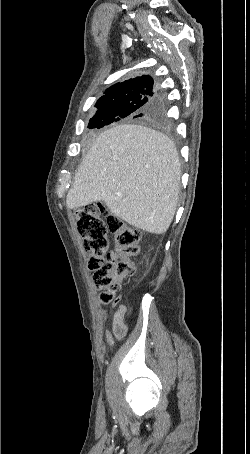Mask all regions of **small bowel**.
<instances>
[{
  "instance_id": "c3829d8e",
  "label": "small bowel",
  "mask_w": 250,
  "mask_h": 454,
  "mask_svg": "<svg viewBox=\"0 0 250 454\" xmlns=\"http://www.w3.org/2000/svg\"><path fill=\"white\" fill-rule=\"evenodd\" d=\"M127 308L121 305L117 308L112 319V329L106 333V340L109 345H113L114 338L120 339L125 336L127 332V326L125 324V316Z\"/></svg>"
}]
</instances>
